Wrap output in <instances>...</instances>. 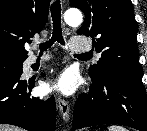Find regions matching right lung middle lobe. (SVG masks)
<instances>
[{"instance_id": "dd1d6c3e", "label": "right lung middle lobe", "mask_w": 147, "mask_h": 131, "mask_svg": "<svg viewBox=\"0 0 147 131\" xmlns=\"http://www.w3.org/2000/svg\"><path fill=\"white\" fill-rule=\"evenodd\" d=\"M24 60L0 58V76H21Z\"/></svg>"}]
</instances>
